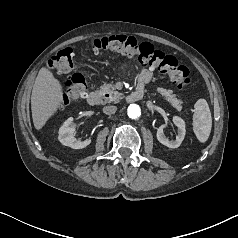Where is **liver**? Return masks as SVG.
I'll return each mask as SVG.
<instances>
[{"label": "liver", "instance_id": "obj_1", "mask_svg": "<svg viewBox=\"0 0 238 238\" xmlns=\"http://www.w3.org/2000/svg\"><path fill=\"white\" fill-rule=\"evenodd\" d=\"M63 102V88L53 73L42 67L36 77L31 95L34 127L40 130Z\"/></svg>", "mask_w": 238, "mask_h": 238}]
</instances>
